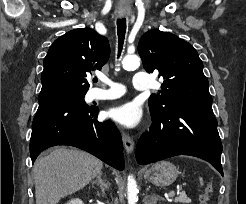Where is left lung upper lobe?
<instances>
[{
  "label": "left lung upper lobe",
  "mask_w": 246,
  "mask_h": 204,
  "mask_svg": "<svg viewBox=\"0 0 246 204\" xmlns=\"http://www.w3.org/2000/svg\"><path fill=\"white\" fill-rule=\"evenodd\" d=\"M138 53L145 70H158V77L164 79L160 93L149 98L152 116L175 104L212 103L203 63L191 44L171 33L150 30L141 37Z\"/></svg>",
  "instance_id": "5c2ea615"
}]
</instances>
